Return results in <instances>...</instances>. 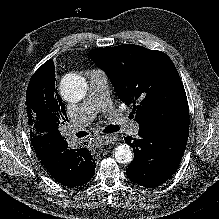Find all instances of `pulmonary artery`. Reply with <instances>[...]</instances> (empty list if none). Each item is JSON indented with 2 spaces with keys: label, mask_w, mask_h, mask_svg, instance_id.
Instances as JSON below:
<instances>
[{
  "label": "pulmonary artery",
  "mask_w": 219,
  "mask_h": 219,
  "mask_svg": "<svg viewBox=\"0 0 219 219\" xmlns=\"http://www.w3.org/2000/svg\"><path fill=\"white\" fill-rule=\"evenodd\" d=\"M88 76L89 95L73 116L72 125L74 130H79L88 125L95 118L98 111H104L122 130L132 135L138 134L139 124L128 120L112 105L109 99L107 75L99 69H92L88 72Z\"/></svg>",
  "instance_id": "obj_1"
}]
</instances>
